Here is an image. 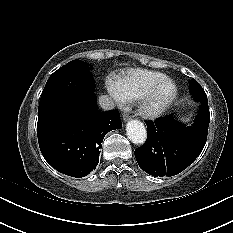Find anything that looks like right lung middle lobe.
Listing matches in <instances>:
<instances>
[{
	"mask_svg": "<svg viewBox=\"0 0 233 233\" xmlns=\"http://www.w3.org/2000/svg\"><path fill=\"white\" fill-rule=\"evenodd\" d=\"M89 68L87 63L73 60L55 71L42 92L38 119L56 112L70 111L71 103L79 90H94L95 84Z\"/></svg>",
	"mask_w": 233,
	"mask_h": 233,
	"instance_id": "dd1d6c3e",
	"label": "right lung middle lobe"
}]
</instances>
